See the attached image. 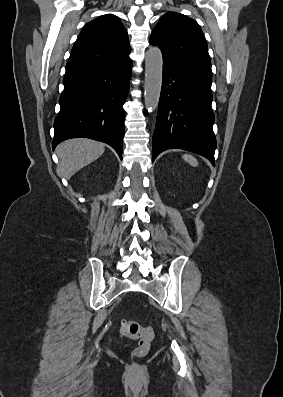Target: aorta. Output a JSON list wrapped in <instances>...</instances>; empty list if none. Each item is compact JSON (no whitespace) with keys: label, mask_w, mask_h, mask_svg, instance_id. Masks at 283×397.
<instances>
[{"label":"aorta","mask_w":283,"mask_h":397,"mask_svg":"<svg viewBox=\"0 0 283 397\" xmlns=\"http://www.w3.org/2000/svg\"><path fill=\"white\" fill-rule=\"evenodd\" d=\"M163 59L160 49L150 47L145 58L144 98L148 111H154L159 103L162 86Z\"/></svg>","instance_id":"aorta-1"}]
</instances>
